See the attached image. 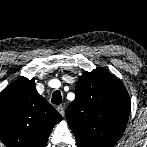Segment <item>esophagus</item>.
I'll use <instances>...</instances> for the list:
<instances>
[{
    "label": "esophagus",
    "instance_id": "esophagus-1",
    "mask_svg": "<svg viewBox=\"0 0 147 147\" xmlns=\"http://www.w3.org/2000/svg\"><path fill=\"white\" fill-rule=\"evenodd\" d=\"M57 111L64 117V114H65V112H64V107L63 106H61V105H59V106H57Z\"/></svg>",
    "mask_w": 147,
    "mask_h": 147
}]
</instances>
